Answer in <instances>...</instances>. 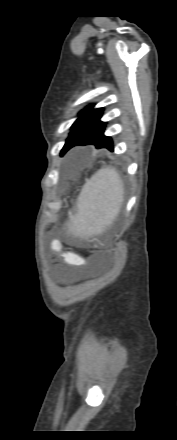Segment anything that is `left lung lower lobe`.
<instances>
[{"label": "left lung lower lobe", "instance_id": "left-lung-lower-lobe-1", "mask_svg": "<svg viewBox=\"0 0 177 440\" xmlns=\"http://www.w3.org/2000/svg\"><path fill=\"white\" fill-rule=\"evenodd\" d=\"M105 125L90 133L85 138L80 140L76 145H94L97 149L106 148L113 151V141L111 137L104 135Z\"/></svg>", "mask_w": 177, "mask_h": 440}]
</instances>
